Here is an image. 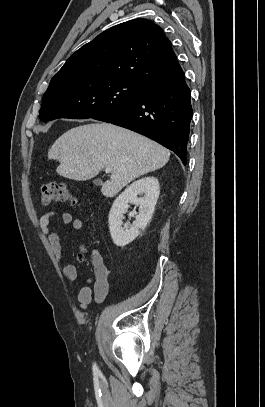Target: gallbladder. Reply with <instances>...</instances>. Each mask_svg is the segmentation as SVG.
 Listing matches in <instances>:
<instances>
[{
	"instance_id": "gallbladder-1",
	"label": "gallbladder",
	"mask_w": 265,
	"mask_h": 407,
	"mask_svg": "<svg viewBox=\"0 0 265 407\" xmlns=\"http://www.w3.org/2000/svg\"><path fill=\"white\" fill-rule=\"evenodd\" d=\"M94 184L97 185V186H99V185L102 184V181H101L100 179H95V180H94Z\"/></svg>"
}]
</instances>
